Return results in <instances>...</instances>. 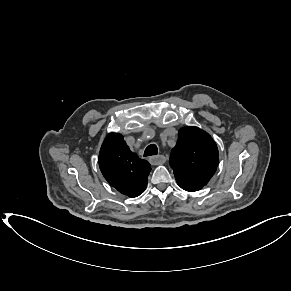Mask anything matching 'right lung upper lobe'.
Segmentation results:
<instances>
[{
    "instance_id": "cb5924a9",
    "label": "right lung upper lobe",
    "mask_w": 291,
    "mask_h": 291,
    "mask_svg": "<svg viewBox=\"0 0 291 291\" xmlns=\"http://www.w3.org/2000/svg\"><path fill=\"white\" fill-rule=\"evenodd\" d=\"M99 167L112 187L131 198L144 192L151 171L150 164L133 153L119 133L106 136L99 152Z\"/></svg>"
}]
</instances>
